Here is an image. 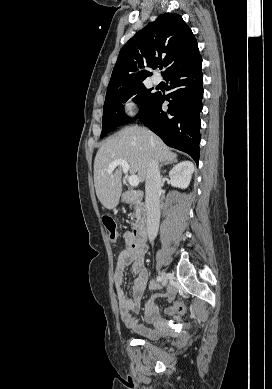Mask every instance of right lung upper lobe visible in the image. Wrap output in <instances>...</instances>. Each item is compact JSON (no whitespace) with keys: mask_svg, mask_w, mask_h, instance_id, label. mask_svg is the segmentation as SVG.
<instances>
[{"mask_svg":"<svg viewBox=\"0 0 272 389\" xmlns=\"http://www.w3.org/2000/svg\"><path fill=\"white\" fill-rule=\"evenodd\" d=\"M199 54L191 29L178 14H162L136 33L121 49L107 93L143 83L158 64L166 67L164 77Z\"/></svg>","mask_w":272,"mask_h":389,"instance_id":"1","label":"right lung upper lobe"}]
</instances>
